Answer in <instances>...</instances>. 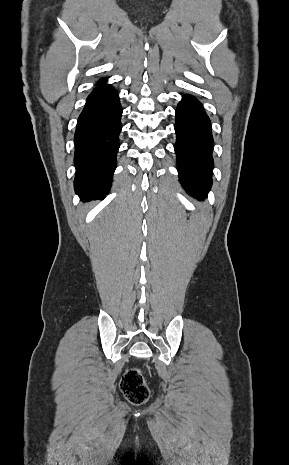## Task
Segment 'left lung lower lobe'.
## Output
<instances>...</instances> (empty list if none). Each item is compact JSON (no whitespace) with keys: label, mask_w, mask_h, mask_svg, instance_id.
Instances as JSON below:
<instances>
[{"label":"left lung lower lobe","mask_w":289,"mask_h":465,"mask_svg":"<svg viewBox=\"0 0 289 465\" xmlns=\"http://www.w3.org/2000/svg\"><path fill=\"white\" fill-rule=\"evenodd\" d=\"M175 132L180 182L189 194L204 199L212 185L213 137L210 120L195 97L184 95L178 104Z\"/></svg>","instance_id":"obj_1"}]
</instances>
